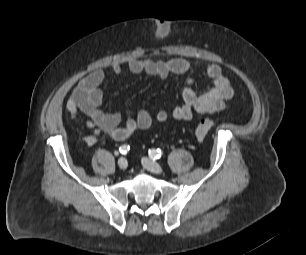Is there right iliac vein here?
<instances>
[{
	"mask_svg": "<svg viewBox=\"0 0 306 255\" xmlns=\"http://www.w3.org/2000/svg\"><path fill=\"white\" fill-rule=\"evenodd\" d=\"M118 166L120 169L125 170L127 168V160L125 158H120L118 160Z\"/></svg>",
	"mask_w": 306,
	"mask_h": 255,
	"instance_id": "1",
	"label": "right iliac vein"
}]
</instances>
